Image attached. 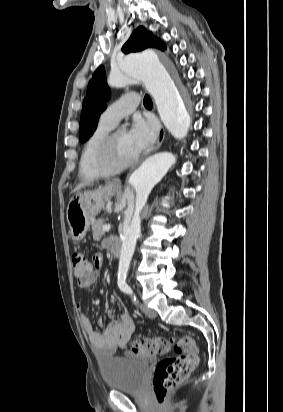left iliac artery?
Instances as JSON below:
<instances>
[{
	"label": "left iliac artery",
	"instance_id": "44dca946",
	"mask_svg": "<svg viewBox=\"0 0 283 412\" xmlns=\"http://www.w3.org/2000/svg\"><path fill=\"white\" fill-rule=\"evenodd\" d=\"M126 275L125 274H119L118 275V286L123 291L124 293H127L132 296L133 300L136 302V296L133 293V290L131 287L126 283Z\"/></svg>",
	"mask_w": 283,
	"mask_h": 412
}]
</instances>
